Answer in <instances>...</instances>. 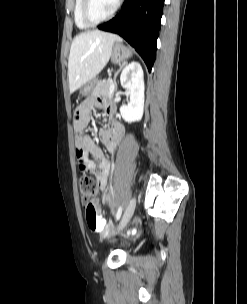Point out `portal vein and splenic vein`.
<instances>
[{
  "label": "portal vein and splenic vein",
  "mask_w": 247,
  "mask_h": 304,
  "mask_svg": "<svg viewBox=\"0 0 247 304\" xmlns=\"http://www.w3.org/2000/svg\"><path fill=\"white\" fill-rule=\"evenodd\" d=\"M114 89V84L112 83L111 86H110V91L112 92Z\"/></svg>",
  "instance_id": "1"
}]
</instances>
